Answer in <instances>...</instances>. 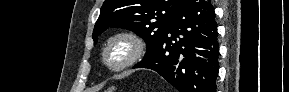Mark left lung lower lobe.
Here are the masks:
<instances>
[{"label": "left lung lower lobe", "mask_w": 289, "mask_h": 92, "mask_svg": "<svg viewBox=\"0 0 289 92\" xmlns=\"http://www.w3.org/2000/svg\"><path fill=\"white\" fill-rule=\"evenodd\" d=\"M210 0H183L157 50L134 68L158 72L180 92H215L219 44Z\"/></svg>", "instance_id": "left-lung-lower-lobe-1"}]
</instances>
